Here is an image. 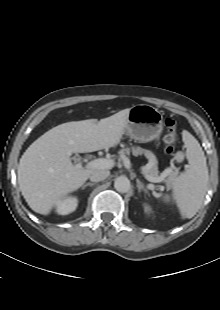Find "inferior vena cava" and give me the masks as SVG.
<instances>
[{
  "label": "inferior vena cava",
  "mask_w": 220,
  "mask_h": 310,
  "mask_svg": "<svg viewBox=\"0 0 220 310\" xmlns=\"http://www.w3.org/2000/svg\"><path fill=\"white\" fill-rule=\"evenodd\" d=\"M109 176V171L107 170H95L90 175V180L93 182H99L105 180Z\"/></svg>",
  "instance_id": "inferior-vena-cava-1"
}]
</instances>
